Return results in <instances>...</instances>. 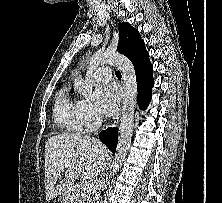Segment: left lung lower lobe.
I'll list each match as a JSON object with an SVG mask.
<instances>
[{
    "mask_svg": "<svg viewBox=\"0 0 222 203\" xmlns=\"http://www.w3.org/2000/svg\"><path fill=\"white\" fill-rule=\"evenodd\" d=\"M134 65L138 86V104L141 109L146 108L152 95L153 76L149 54L143 44L130 59Z\"/></svg>",
    "mask_w": 222,
    "mask_h": 203,
    "instance_id": "1",
    "label": "left lung lower lobe"
}]
</instances>
